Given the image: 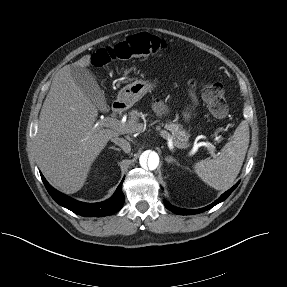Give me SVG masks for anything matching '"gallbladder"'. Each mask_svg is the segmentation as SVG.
<instances>
[{
  "label": "gallbladder",
  "instance_id": "bac80fb5",
  "mask_svg": "<svg viewBox=\"0 0 287 287\" xmlns=\"http://www.w3.org/2000/svg\"><path fill=\"white\" fill-rule=\"evenodd\" d=\"M71 76L85 97L99 109H107L104 93L98 85L95 76L87 68L71 66Z\"/></svg>",
  "mask_w": 287,
  "mask_h": 287
}]
</instances>
